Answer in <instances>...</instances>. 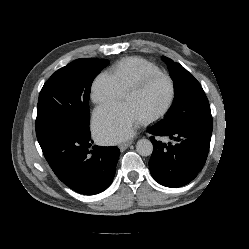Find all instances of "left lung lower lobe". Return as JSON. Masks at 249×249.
<instances>
[{"mask_svg": "<svg viewBox=\"0 0 249 249\" xmlns=\"http://www.w3.org/2000/svg\"><path fill=\"white\" fill-rule=\"evenodd\" d=\"M213 123L182 129H167L157 123L148 129L152 134L153 153L149 168L153 178L166 187H180L192 181L207 159ZM168 136L175 143L165 144L159 138Z\"/></svg>", "mask_w": 249, "mask_h": 249, "instance_id": "left-lung-lower-lobe-1", "label": "left lung lower lobe"}]
</instances>
